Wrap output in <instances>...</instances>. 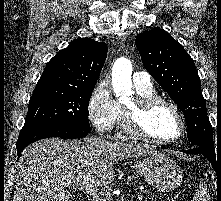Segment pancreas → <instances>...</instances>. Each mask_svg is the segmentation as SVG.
I'll return each mask as SVG.
<instances>
[{
	"label": "pancreas",
	"mask_w": 221,
	"mask_h": 201,
	"mask_svg": "<svg viewBox=\"0 0 221 201\" xmlns=\"http://www.w3.org/2000/svg\"><path fill=\"white\" fill-rule=\"evenodd\" d=\"M149 199H150L151 201H156V200H157V199H154L153 197H150ZM101 201H106V200L103 199V200H101ZM145 201H147V199H146Z\"/></svg>",
	"instance_id": "obj_1"
}]
</instances>
